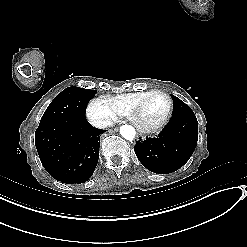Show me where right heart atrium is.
Instances as JSON below:
<instances>
[{"label":"right heart atrium","mask_w":247,"mask_h":247,"mask_svg":"<svg viewBox=\"0 0 247 247\" xmlns=\"http://www.w3.org/2000/svg\"><path fill=\"white\" fill-rule=\"evenodd\" d=\"M86 114L89 121L95 126H107L114 119V110L102 98H93L87 105Z\"/></svg>","instance_id":"obj_1"}]
</instances>
